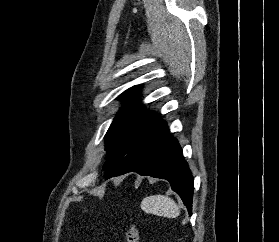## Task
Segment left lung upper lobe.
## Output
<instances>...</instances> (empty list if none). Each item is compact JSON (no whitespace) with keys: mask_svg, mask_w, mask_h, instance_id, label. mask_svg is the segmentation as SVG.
Masks as SVG:
<instances>
[{"mask_svg":"<svg viewBox=\"0 0 279 242\" xmlns=\"http://www.w3.org/2000/svg\"><path fill=\"white\" fill-rule=\"evenodd\" d=\"M139 87L121 94L126 103L105 135L109 160L103 166L106 178L122 175L127 167L168 135L165 121L139 104Z\"/></svg>","mask_w":279,"mask_h":242,"instance_id":"5c2ea615","label":"left lung upper lobe"}]
</instances>
